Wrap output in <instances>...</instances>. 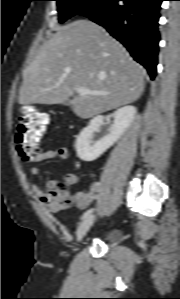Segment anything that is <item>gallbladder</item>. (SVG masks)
Wrapping results in <instances>:
<instances>
[{"label": "gallbladder", "instance_id": "1", "mask_svg": "<svg viewBox=\"0 0 180 299\" xmlns=\"http://www.w3.org/2000/svg\"><path fill=\"white\" fill-rule=\"evenodd\" d=\"M64 105H70V101L67 100L66 102H64Z\"/></svg>", "mask_w": 180, "mask_h": 299}]
</instances>
